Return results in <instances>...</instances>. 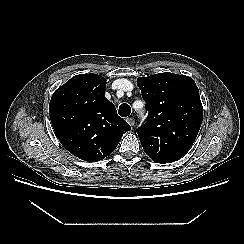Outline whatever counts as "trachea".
Listing matches in <instances>:
<instances>
[{
  "instance_id": "1",
  "label": "trachea",
  "mask_w": 244,
  "mask_h": 244,
  "mask_svg": "<svg viewBox=\"0 0 244 244\" xmlns=\"http://www.w3.org/2000/svg\"><path fill=\"white\" fill-rule=\"evenodd\" d=\"M118 113L121 117H127L131 113V107L128 104L123 103L119 106Z\"/></svg>"
}]
</instances>
